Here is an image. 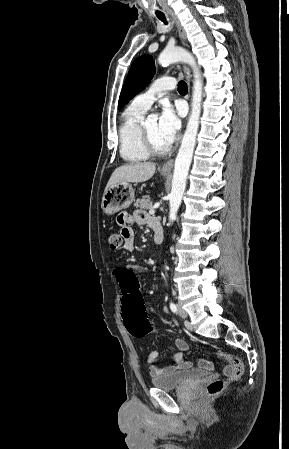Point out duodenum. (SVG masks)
Instances as JSON below:
<instances>
[{"label":"duodenum","mask_w":289,"mask_h":449,"mask_svg":"<svg viewBox=\"0 0 289 449\" xmlns=\"http://www.w3.org/2000/svg\"><path fill=\"white\" fill-rule=\"evenodd\" d=\"M153 231H154V241L157 244L162 243L163 241V229L161 224H155L153 227Z\"/></svg>","instance_id":"410a0bca"}]
</instances>
